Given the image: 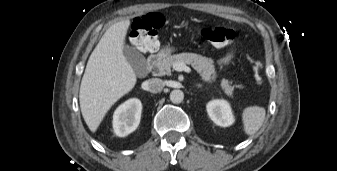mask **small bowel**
I'll use <instances>...</instances> for the list:
<instances>
[{"mask_svg": "<svg viewBox=\"0 0 337 171\" xmlns=\"http://www.w3.org/2000/svg\"><path fill=\"white\" fill-rule=\"evenodd\" d=\"M233 58H234V52H230L224 58H222L219 61V65L220 66H227L228 64L231 63V61L233 60Z\"/></svg>", "mask_w": 337, "mask_h": 171, "instance_id": "obj_1", "label": "small bowel"}]
</instances>
